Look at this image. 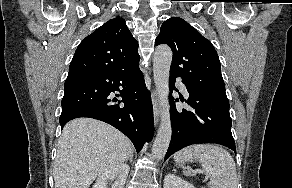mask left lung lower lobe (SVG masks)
I'll list each match as a JSON object with an SVG mask.
<instances>
[{
    "label": "left lung lower lobe",
    "mask_w": 292,
    "mask_h": 188,
    "mask_svg": "<svg viewBox=\"0 0 292 188\" xmlns=\"http://www.w3.org/2000/svg\"><path fill=\"white\" fill-rule=\"evenodd\" d=\"M175 78L170 74L171 93L175 90ZM186 88L190 109L177 110L174 99L171 101L172 138L165 160L180 149L199 143L221 144L236 152L227 96L208 93L189 85Z\"/></svg>",
    "instance_id": "obj_1"
}]
</instances>
